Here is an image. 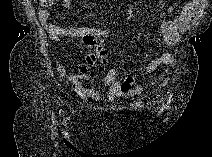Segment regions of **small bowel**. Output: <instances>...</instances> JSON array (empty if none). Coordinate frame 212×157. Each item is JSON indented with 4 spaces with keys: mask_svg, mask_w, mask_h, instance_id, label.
Instances as JSON below:
<instances>
[{
    "mask_svg": "<svg viewBox=\"0 0 212 157\" xmlns=\"http://www.w3.org/2000/svg\"><path fill=\"white\" fill-rule=\"evenodd\" d=\"M71 0H62L61 6L64 10L71 8ZM200 4L197 1L186 2L175 15L174 18L166 20L161 24V32L163 41L167 46H173L177 43L181 32L189 25L199 10ZM39 20L46 30L49 41L57 43L62 37H85L87 35L104 38L114 33L113 29H99L92 27H61L48 22L49 13L46 9H41L38 13ZM74 50V49H72ZM81 53L80 50H75ZM174 63L173 56L170 53H163L151 59L145 67L146 73L154 72L159 66H166L164 74L160 77V81H165L170 69ZM58 74L69 80L74 90L84 99L91 101H111L116 97L128 96L134 92H140L141 87L138 86L133 77L124 80L117 78V72L111 68L104 76L103 83L107 88L106 94H101L93 87H86L84 83L91 82V78L86 73L69 74L66 65L63 62L57 64Z\"/></svg>",
    "mask_w": 212,
    "mask_h": 157,
    "instance_id": "small-bowel-1",
    "label": "small bowel"
}]
</instances>
